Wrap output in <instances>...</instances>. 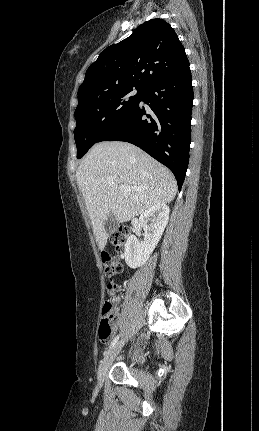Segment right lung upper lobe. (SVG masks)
<instances>
[{
  "mask_svg": "<svg viewBox=\"0 0 259 431\" xmlns=\"http://www.w3.org/2000/svg\"><path fill=\"white\" fill-rule=\"evenodd\" d=\"M187 65L185 49L173 28L162 19H151L107 47L90 65L78 90V104L115 89H146Z\"/></svg>",
  "mask_w": 259,
  "mask_h": 431,
  "instance_id": "right-lung-upper-lobe-1",
  "label": "right lung upper lobe"
}]
</instances>
